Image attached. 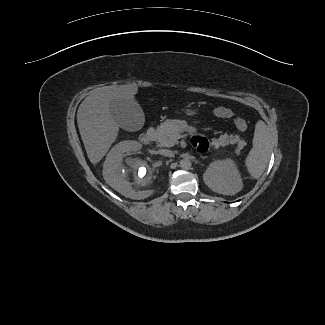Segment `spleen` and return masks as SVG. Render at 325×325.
Masks as SVG:
<instances>
[{"label":"spleen","instance_id":"1","mask_svg":"<svg viewBox=\"0 0 325 325\" xmlns=\"http://www.w3.org/2000/svg\"><path fill=\"white\" fill-rule=\"evenodd\" d=\"M271 154L268 126L261 120L255 125L253 147L246 157L245 165L250 175L258 179L264 172Z\"/></svg>","mask_w":325,"mask_h":325}]
</instances>
